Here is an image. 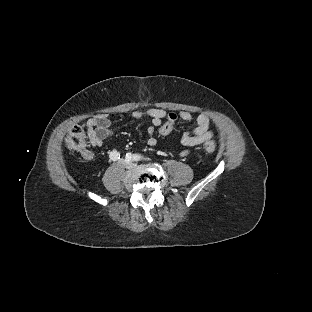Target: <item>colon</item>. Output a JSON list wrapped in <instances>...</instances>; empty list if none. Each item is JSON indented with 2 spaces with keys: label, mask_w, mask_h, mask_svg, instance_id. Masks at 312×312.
Returning <instances> with one entry per match:
<instances>
[{
  "label": "colon",
  "mask_w": 312,
  "mask_h": 312,
  "mask_svg": "<svg viewBox=\"0 0 312 312\" xmlns=\"http://www.w3.org/2000/svg\"><path fill=\"white\" fill-rule=\"evenodd\" d=\"M177 121V116L174 113L169 114L166 126L162 127L160 130L161 135L166 136L172 133L175 129ZM66 138L68 147L72 151H76L82 154L85 159L91 156L89 151L87 139L78 126H71L66 131ZM203 149L207 153H213L216 150V144L213 141H206L204 143Z\"/></svg>",
  "instance_id": "colon-1"
}]
</instances>
